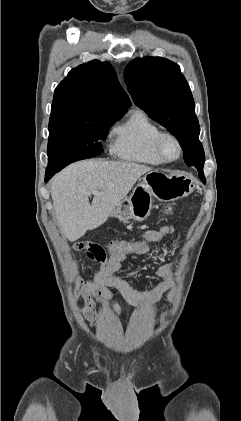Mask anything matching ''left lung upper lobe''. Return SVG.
Listing matches in <instances>:
<instances>
[{
	"label": "left lung upper lobe",
	"instance_id": "5c2ea615",
	"mask_svg": "<svg viewBox=\"0 0 241 421\" xmlns=\"http://www.w3.org/2000/svg\"><path fill=\"white\" fill-rule=\"evenodd\" d=\"M124 78L135 104L177 138L185 163L203 169L195 104L179 66L161 57L137 58L126 66Z\"/></svg>",
	"mask_w": 241,
	"mask_h": 421
}]
</instances>
